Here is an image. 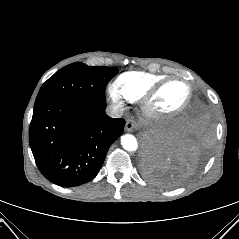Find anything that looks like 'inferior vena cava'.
<instances>
[{"instance_id": "602c4592", "label": "inferior vena cava", "mask_w": 239, "mask_h": 239, "mask_svg": "<svg viewBox=\"0 0 239 239\" xmlns=\"http://www.w3.org/2000/svg\"><path fill=\"white\" fill-rule=\"evenodd\" d=\"M124 109L119 105H109L106 108V114L112 118H119L123 115Z\"/></svg>"}]
</instances>
